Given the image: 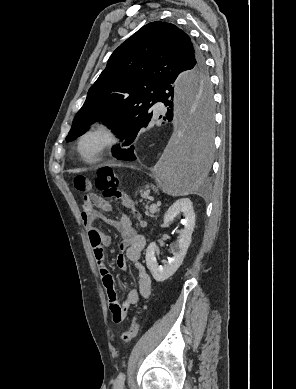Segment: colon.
<instances>
[{
  "instance_id": "1",
  "label": "colon",
  "mask_w": 296,
  "mask_h": 389,
  "mask_svg": "<svg viewBox=\"0 0 296 389\" xmlns=\"http://www.w3.org/2000/svg\"><path fill=\"white\" fill-rule=\"evenodd\" d=\"M73 184L75 189L78 190L79 192L84 193V195L89 193V191L91 190V183L85 176L75 177ZM95 185L96 188L102 193L103 197L121 199L123 205L126 208L130 209L133 215L136 217V219H138L139 222L143 224L140 214L134 208L133 201L129 197L124 195L120 190L119 180L115 172L113 171V169H111L110 167L100 168L97 171ZM122 320L123 318L121 313L119 311L115 312L113 315V321L115 323H119ZM138 331H139V324H138V316L136 314L132 319L130 327L122 333L121 335L122 341L125 343L132 341L138 334Z\"/></svg>"
}]
</instances>
